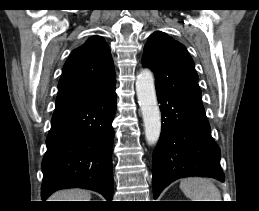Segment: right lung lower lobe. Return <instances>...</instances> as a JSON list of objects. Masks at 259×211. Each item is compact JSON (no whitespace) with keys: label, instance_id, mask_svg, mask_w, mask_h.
I'll use <instances>...</instances> for the list:
<instances>
[{"label":"right lung lower lobe","instance_id":"1","mask_svg":"<svg viewBox=\"0 0 259 211\" xmlns=\"http://www.w3.org/2000/svg\"><path fill=\"white\" fill-rule=\"evenodd\" d=\"M115 112V89L54 111L41 166L43 200L56 190L79 187L97 191L111 201Z\"/></svg>","mask_w":259,"mask_h":211}]
</instances>
